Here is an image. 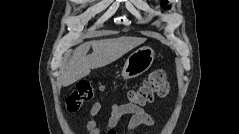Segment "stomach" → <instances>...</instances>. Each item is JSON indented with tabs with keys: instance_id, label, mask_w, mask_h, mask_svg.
Returning <instances> with one entry per match:
<instances>
[{
	"instance_id": "obj_1",
	"label": "stomach",
	"mask_w": 239,
	"mask_h": 134,
	"mask_svg": "<svg viewBox=\"0 0 239 134\" xmlns=\"http://www.w3.org/2000/svg\"><path fill=\"white\" fill-rule=\"evenodd\" d=\"M155 58L154 50L149 46H143L134 51L126 60L122 77L125 79L135 78L146 72Z\"/></svg>"
}]
</instances>
